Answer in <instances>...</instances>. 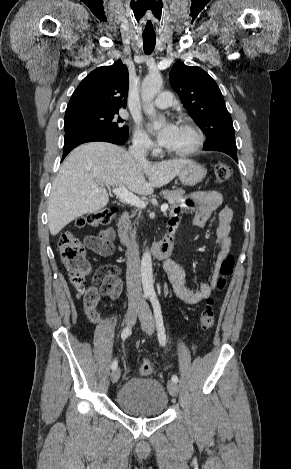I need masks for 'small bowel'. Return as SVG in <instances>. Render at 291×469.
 Here are the masks:
<instances>
[{
  "mask_svg": "<svg viewBox=\"0 0 291 469\" xmlns=\"http://www.w3.org/2000/svg\"><path fill=\"white\" fill-rule=\"evenodd\" d=\"M219 210L218 225L216 228V244L219 252L216 257L214 270L209 282H203L198 289L192 290L186 285V275L183 267L175 260L167 261L163 268L173 287V291L178 299L186 304H197L208 298L215 290L219 269L222 261L231 253L232 241L230 238L231 221L233 218L232 209L223 203L221 194L217 191H200L187 197L181 207L176 208L171 213L168 226L178 228L183 211L192 213V222L196 227H203L211 215ZM112 231L106 230L97 236L87 239V244L94 252L107 256L112 250ZM120 292L112 293L111 297L116 298Z\"/></svg>",
  "mask_w": 291,
  "mask_h": 469,
  "instance_id": "1",
  "label": "small bowel"
}]
</instances>
